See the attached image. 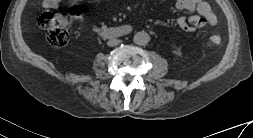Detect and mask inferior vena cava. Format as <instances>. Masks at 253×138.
<instances>
[{
	"label": "inferior vena cava",
	"instance_id": "inferior-vena-cava-1",
	"mask_svg": "<svg viewBox=\"0 0 253 138\" xmlns=\"http://www.w3.org/2000/svg\"><path fill=\"white\" fill-rule=\"evenodd\" d=\"M120 43V40L118 39H110L108 42H107V45L108 46H116Z\"/></svg>",
	"mask_w": 253,
	"mask_h": 138
}]
</instances>
